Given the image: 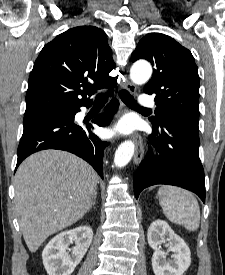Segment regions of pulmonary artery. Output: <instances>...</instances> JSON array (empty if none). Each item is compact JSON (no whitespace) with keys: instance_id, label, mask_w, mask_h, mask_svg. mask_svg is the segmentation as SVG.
Returning a JSON list of instances; mask_svg holds the SVG:
<instances>
[{"instance_id":"obj_1","label":"pulmonary artery","mask_w":225,"mask_h":275,"mask_svg":"<svg viewBox=\"0 0 225 275\" xmlns=\"http://www.w3.org/2000/svg\"><path fill=\"white\" fill-rule=\"evenodd\" d=\"M139 105L144 108H151L154 106V100L150 96L142 95L139 99Z\"/></svg>"}]
</instances>
